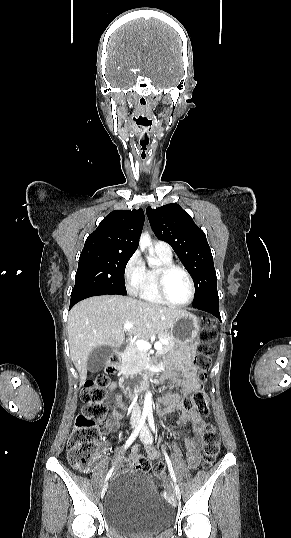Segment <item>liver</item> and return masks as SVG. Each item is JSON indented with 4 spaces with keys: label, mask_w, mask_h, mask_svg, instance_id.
<instances>
[{
    "label": "liver",
    "mask_w": 291,
    "mask_h": 538,
    "mask_svg": "<svg viewBox=\"0 0 291 538\" xmlns=\"http://www.w3.org/2000/svg\"><path fill=\"white\" fill-rule=\"evenodd\" d=\"M184 313V310L121 295L96 296L76 304L68 316V341L80 386L87 377L88 356L95 348L121 346L125 331L129 336L138 337L162 333ZM127 322L134 324L129 330L123 328Z\"/></svg>",
    "instance_id": "obj_1"
}]
</instances>
